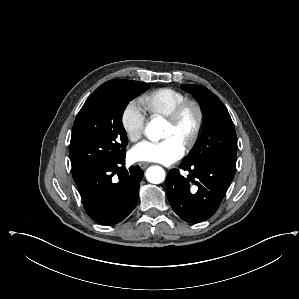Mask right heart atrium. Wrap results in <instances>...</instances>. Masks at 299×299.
I'll list each match as a JSON object with an SVG mask.
<instances>
[{
  "instance_id": "right-heart-atrium-1",
  "label": "right heart atrium",
  "mask_w": 299,
  "mask_h": 299,
  "mask_svg": "<svg viewBox=\"0 0 299 299\" xmlns=\"http://www.w3.org/2000/svg\"><path fill=\"white\" fill-rule=\"evenodd\" d=\"M122 128L131 141L138 140L145 129L146 114L141 103L136 100H130L124 106L120 117Z\"/></svg>"
}]
</instances>
